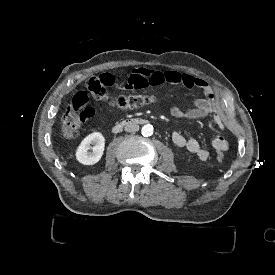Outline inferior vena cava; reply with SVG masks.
<instances>
[{"mask_svg":"<svg viewBox=\"0 0 275 275\" xmlns=\"http://www.w3.org/2000/svg\"><path fill=\"white\" fill-rule=\"evenodd\" d=\"M124 130L128 133L137 132L139 130V126L134 123H129L124 127Z\"/></svg>","mask_w":275,"mask_h":275,"instance_id":"602c4592","label":"inferior vena cava"}]
</instances>
